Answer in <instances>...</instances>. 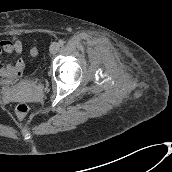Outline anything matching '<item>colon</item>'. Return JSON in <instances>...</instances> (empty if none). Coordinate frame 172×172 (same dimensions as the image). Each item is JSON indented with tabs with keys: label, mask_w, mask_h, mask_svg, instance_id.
<instances>
[{
	"label": "colon",
	"mask_w": 172,
	"mask_h": 172,
	"mask_svg": "<svg viewBox=\"0 0 172 172\" xmlns=\"http://www.w3.org/2000/svg\"><path fill=\"white\" fill-rule=\"evenodd\" d=\"M15 110L19 117H24L28 114L29 107H28V105H26L24 103H20L16 106Z\"/></svg>",
	"instance_id": "1"
}]
</instances>
